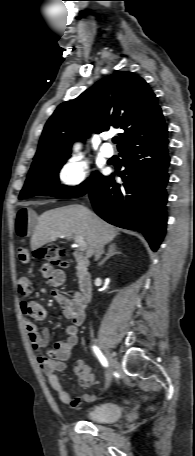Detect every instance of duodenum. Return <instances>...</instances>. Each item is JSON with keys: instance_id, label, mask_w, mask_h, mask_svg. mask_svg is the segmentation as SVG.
<instances>
[{"instance_id": "obj_1", "label": "duodenum", "mask_w": 195, "mask_h": 456, "mask_svg": "<svg viewBox=\"0 0 195 456\" xmlns=\"http://www.w3.org/2000/svg\"><path fill=\"white\" fill-rule=\"evenodd\" d=\"M75 261L80 293L83 301L87 303L92 296V279L88 272V259L76 254Z\"/></svg>"}]
</instances>
